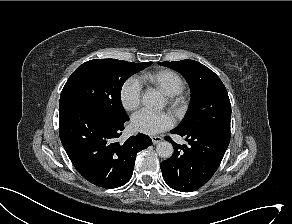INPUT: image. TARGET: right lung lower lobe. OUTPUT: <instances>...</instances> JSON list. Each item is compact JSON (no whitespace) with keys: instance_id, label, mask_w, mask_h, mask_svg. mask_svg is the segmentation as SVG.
Here are the masks:
<instances>
[{"instance_id":"obj_1","label":"right lung lower lobe","mask_w":292,"mask_h":224,"mask_svg":"<svg viewBox=\"0 0 292 224\" xmlns=\"http://www.w3.org/2000/svg\"><path fill=\"white\" fill-rule=\"evenodd\" d=\"M126 116L109 119L78 103L59 106V136L76 170L92 184L112 189L126 184L133 173L136 155L152 144L139 133L124 143L118 138Z\"/></svg>"}]
</instances>
